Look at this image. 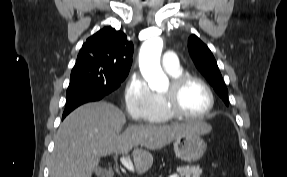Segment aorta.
<instances>
[{
    "label": "aorta",
    "instance_id": "762f6f07",
    "mask_svg": "<svg viewBox=\"0 0 287 177\" xmlns=\"http://www.w3.org/2000/svg\"><path fill=\"white\" fill-rule=\"evenodd\" d=\"M162 48V39L152 37L145 41L140 49V71L151 90L160 91L168 85V79L160 66Z\"/></svg>",
    "mask_w": 287,
    "mask_h": 177
}]
</instances>
